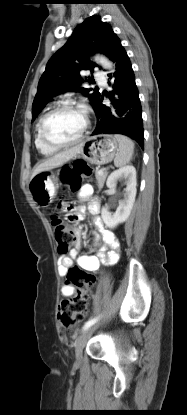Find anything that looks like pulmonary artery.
Masks as SVG:
<instances>
[{
	"label": "pulmonary artery",
	"instance_id": "pulmonary-artery-1",
	"mask_svg": "<svg viewBox=\"0 0 187 415\" xmlns=\"http://www.w3.org/2000/svg\"><path fill=\"white\" fill-rule=\"evenodd\" d=\"M94 76H95L96 81H97L99 84H101L102 86H106V79H105V76H104L103 72H101V71H96V72L94 73Z\"/></svg>",
	"mask_w": 187,
	"mask_h": 415
}]
</instances>
